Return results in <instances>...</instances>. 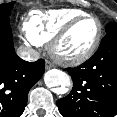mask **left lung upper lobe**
<instances>
[{
  "instance_id": "left-lung-upper-lobe-1",
  "label": "left lung upper lobe",
  "mask_w": 117,
  "mask_h": 117,
  "mask_svg": "<svg viewBox=\"0 0 117 117\" xmlns=\"http://www.w3.org/2000/svg\"><path fill=\"white\" fill-rule=\"evenodd\" d=\"M113 28H117V24L116 23H109L106 26V33L109 32L110 30H112Z\"/></svg>"
}]
</instances>
